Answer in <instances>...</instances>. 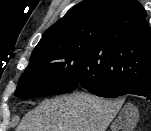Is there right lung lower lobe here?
I'll use <instances>...</instances> for the list:
<instances>
[{
  "label": "right lung lower lobe",
  "instance_id": "98d812e1",
  "mask_svg": "<svg viewBox=\"0 0 151 131\" xmlns=\"http://www.w3.org/2000/svg\"><path fill=\"white\" fill-rule=\"evenodd\" d=\"M79 87L87 89L90 93L105 97V98H117L127 94H134L145 97L151 101V80L135 83H91L82 82Z\"/></svg>",
  "mask_w": 151,
  "mask_h": 131
}]
</instances>
